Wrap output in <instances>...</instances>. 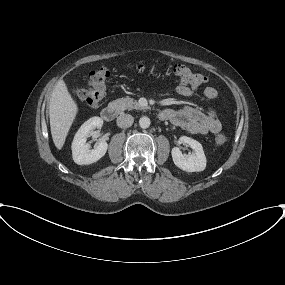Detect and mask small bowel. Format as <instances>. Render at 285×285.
I'll use <instances>...</instances> for the list:
<instances>
[{
	"instance_id": "1",
	"label": "small bowel",
	"mask_w": 285,
	"mask_h": 285,
	"mask_svg": "<svg viewBox=\"0 0 285 285\" xmlns=\"http://www.w3.org/2000/svg\"><path fill=\"white\" fill-rule=\"evenodd\" d=\"M176 92L183 97H192L196 94L195 88L185 84L178 85ZM202 94L205 99L214 100L218 96V91L214 87L208 86ZM162 112V120L170 121L192 134H217L222 129V123L216 111L212 109L202 111L190 106H183L178 110L165 109Z\"/></svg>"
}]
</instances>
